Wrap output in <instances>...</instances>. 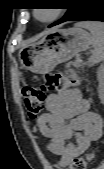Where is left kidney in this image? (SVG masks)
I'll use <instances>...</instances> for the list:
<instances>
[{
    "label": "left kidney",
    "mask_w": 104,
    "mask_h": 169,
    "mask_svg": "<svg viewBox=\"0 0 104 169\" xmlns=\"http://www.w3.org/2000/svg\"><path fill=\"white\" fill-rule=\"evenodd\" d=\"M103 72H104V67L101 66L98 70V78H99V88H98V93H99V98L101 100L104 99V78H103Z\"/></svg>",
    "instance_id": "obj_1"
}]
</instances>
